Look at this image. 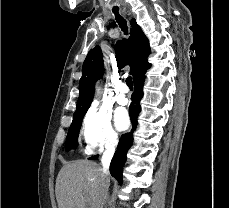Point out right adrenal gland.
Segmentation results:
<instances>
[{
    "mask_svg": "<svg viewBox=\"0 0 229 208\" xmlns=\"http://www.w3.org/2000/svg\"><path fill=\"white\" fill-rule=\"evenodd\" d=\"M108 198H109V194H107V196H106V200H107V202H108Z\"/></svg>",
    "mask_w": 229,
    "mask_h": 208,
    "instance_id": "right-adrenal-gland-1",
    "label": "right adrenal gland"
}]
</instances>
